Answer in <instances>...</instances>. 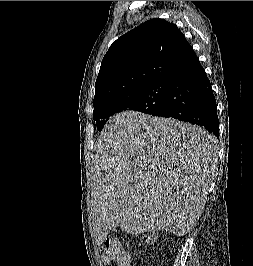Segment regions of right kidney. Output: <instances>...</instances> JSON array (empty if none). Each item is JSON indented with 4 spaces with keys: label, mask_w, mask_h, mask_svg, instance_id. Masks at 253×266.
<instances>
[{
    "label": "right kidney",
    "mask_w": 253,
    "mask_h": 266,
    "mask_svg": "<svg viewBox=\"0 0 253 266\" xmlns=\"http://www.w3.org/2000/svg\"><path fill=\"white\" fill-rule=\"evenodd\" d=\"M157 238H158V234H153V235H150L148 238H147V242L151 241L152 243H154L155 241H157Z\"/></svg>",
    "instance_id": "ca27d5eb"
}]
</instances>
